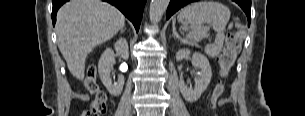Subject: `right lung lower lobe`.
Segmentation results:
<instances>
[{"label": "right lung lower lobe", "instance_id": "obj_1", "mask_svg": "<svg viewBox=\"0 0 305 116\" xmlns=\"http://www.w3.org/2000/svg\"><path fill=\"white\" fill-rule=\"evenodd\" d=\"M68 0H52V22L55 25L58 9ZM116 6L135 26L138 32L146 0H103Z\"/></svg>", "mask_w": 305, "mask_h": 116}]
</instances>
